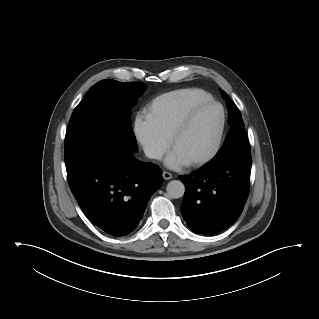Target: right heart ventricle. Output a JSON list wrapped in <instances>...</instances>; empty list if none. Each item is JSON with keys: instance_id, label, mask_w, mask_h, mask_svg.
Masks as SVG:
<instances>
[{"instance_id": "obj_1", "label": "right heart ventricle", "mask_w": 319, "mask_h": 319, "mask_svg": "<svg viewBox=\"0 0 319 319\" xmlns=\"http://www.w3.org/2000/svg\"><path fill=\"white\" fill-rule=\"evenodd\" d=\"M211 98L208 92L199 88L167 92L147 105L146 117L168 139L192 106Z\"/></svg>"}]
</instances>
